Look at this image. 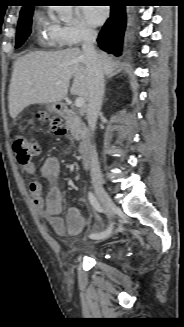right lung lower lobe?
<instances>
[{
	"instance_id": "right-lung-lower-lobe-1",
	"label": "right lung lower lobe",
	"mask_w": 184,
	"mask_h": 327,
	"mask_svg": "<svg viewBox=\"0 0 184 327\" xmlns=\"http://www.w3.org/2000/svg\"><path fill=\"white\" fill-rule=\"evenodd\" d=\"M125 6H111L110 17L100 31L97 42L99 47L107 53L117 56L121 54L122 41L126 26Z\"/></svg>"
}]
</instances>
